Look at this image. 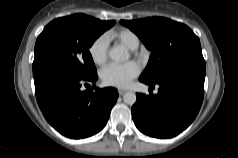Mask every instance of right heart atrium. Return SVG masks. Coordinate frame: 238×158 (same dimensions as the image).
<instances>
[{
  "mask_svg": "<svg viewBox=\"0 0 238 158\" xmlns=\"http://www.w3.org/2000/svg\"><path fill=\"white\" fill-rule=\"evenodd\" d=\"M109 42L106 36L97 37L89 46L88 52L96 65H103L108 58Z\"/></svg>",
  "mask_w": 238,
  "mask_h": 158,
  "instance_id": "d8ad5b80",
  "label": "right heart atrium"
}]
</instances>
